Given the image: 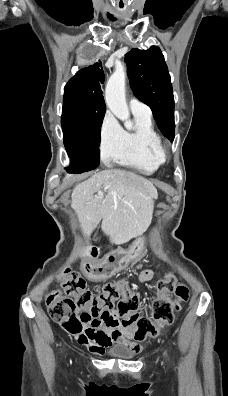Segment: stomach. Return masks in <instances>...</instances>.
Masks as SVG:
<instances>
[{"instance_id":"obj_1","label":"stomach","mask_w":228,"mask_h":396,"mask_svg":"<svg viewBox=\"0 0 228 396\" xmlns=\"http://www.w3.org/2000/svg\"><path fill=\"white\" fill-rule=\"evenodd\" d=\"M120 251H123L120 249ZM146 251V238L144 235L138 236L128 247L126 251L129 260H136L143 256Z\"/></svg>"}]
</instances>
